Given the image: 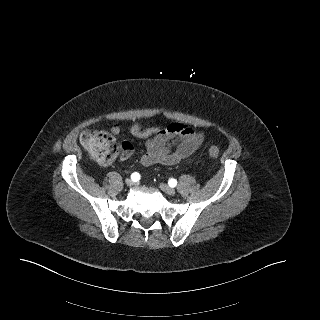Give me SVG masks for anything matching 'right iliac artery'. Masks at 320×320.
Listing matches in <instances>:
<instances>
[{"label":"right iliac artery","mask_w":320,"mask_h":320,"mask_svg":"<svg viewBox=\"0 0 320 320\" xmlns=\"http://www.w3.org/2000/svg\"><path fill=\"white\" fill-rule=\"evenodd\" d=\"M131 179H132L133 181H138V180L140 179L139 173H137V172L132 173V174H131Z\"/></svg>","instance_id":"82829eb1"}]
</instances>
